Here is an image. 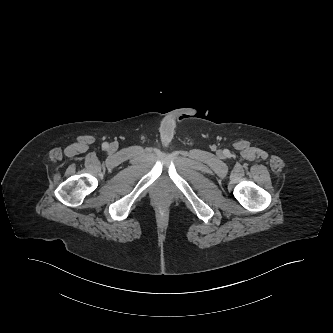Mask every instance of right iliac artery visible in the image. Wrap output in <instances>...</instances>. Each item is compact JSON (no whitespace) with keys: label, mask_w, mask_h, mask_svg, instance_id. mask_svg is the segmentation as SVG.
<instances>
[{"label":"right iliac artery","mask_w":333,"mask_h":333,"mask_svg":"<svg viewBox=\"0 0 333 333\" xmlns=\"http://www.w3.org/2000/svg\"><path fill=\"white\" fill-rule=\"evenodd\" d=\"M108 146H109V145H108V143H106V142L102 144V148H103V149H107Z\"/></svg>","instance_id":"1"}]
</instances>
